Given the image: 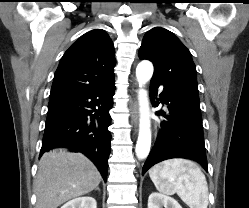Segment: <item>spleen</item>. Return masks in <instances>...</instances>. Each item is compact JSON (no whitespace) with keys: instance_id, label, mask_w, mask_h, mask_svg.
<instances>
[{"instance_id":"spleen-1","label":"spleen","mask_w":249,"mask_h":208,"mask_svg":"<svg viewBox=\"0 0 249 208\" xmlns=\"http://www.w3.org/2000/svg\"><path fill=\"white\" fill-rule=\"evenodd\" d=\"M156 189L164 194L177 195L190 208H207L208 185L201 169L186 159H169L149 170Z\"/></svg>"}]
</instances>
